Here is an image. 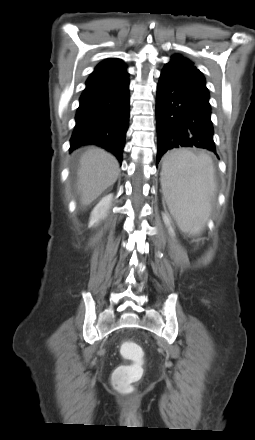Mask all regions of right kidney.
<instances>
[{"label": "right kidney", "instance_id": "ca27d5eb", "mask_svg": "<svg viewBox=\"0 0 255 440\" xmlns=\"http://www.w3.org/2000/svg\"><path fill=\"white\" fill-rule=\"evenodd\" d=\"M112 199H113V195L108 194L99 201V203L94 207L93 211L91 212L89 226H94L101 219L106 217L107 211L110 208Z\"/></svg>", "mask_w": 255, "mask_h": 440}]
</instances>
